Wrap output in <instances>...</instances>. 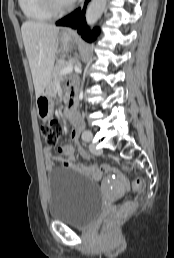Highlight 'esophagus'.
<instances>
[{"label": "esophagus", "instance_id": "1", "mask_svg": "<svg viewBox=\"0 0 174 258\" xmlns=\"http://www.w3.org/2000/svg\"><path fill=\"white\" fill-rule=\"evenodd\" d=\"M83 7V4L81 5V8ZM65 32H71L72 31V29L71 28H66L65 30H64Z\"/></svg>", "mask_w": 174, "mask_h": 258}]
</instances>
